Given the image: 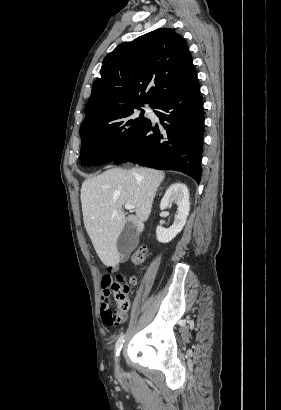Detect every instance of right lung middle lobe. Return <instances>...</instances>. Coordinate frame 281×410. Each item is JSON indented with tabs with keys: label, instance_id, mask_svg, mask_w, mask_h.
<instances>
[{
	"label": "right lung middle lobe",
	"instance_id": "dd1d6c3e",
	"mask_svg": "<svg viewBox=\"0 0 281 410\" xmlns=\"http://www.w3.org/2000/svg\"><path fill=\"white\" fill-rule=\"evenodd\" d=\"M143 105H132L113 109L100 117L81 125L82 140L80 161L82 164L99 165L114 161L141 133L149 122L138 117L134 109Z\"/></svg>",
	"mask_w": 281,
	"mask_h": 410
}]
</instances>
